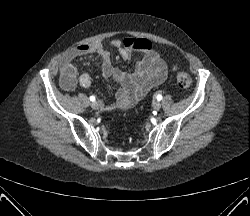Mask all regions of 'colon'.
<instances>
[{"instance_id": "obj_1", "label": "colon", "mask_w": 250, "mask_h": 216, "mask_svg": "<svg viewBox=\"0 0 250 216\" xmlns=\"http://www.w3.org/2000/svg\"><path fill=\"white\" fill-rule=\"evenodd\" d=\"M174 71L178 85L183 90H188L192 84L190 75L186 71L180 70L177 67H174Z\"/></svg>"}]
</instances>
